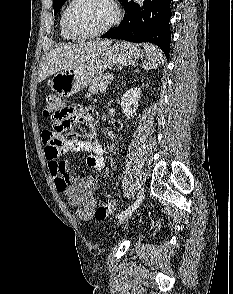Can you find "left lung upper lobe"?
I'll return each instance as SVG.
<instances>
[{
    "mask_svg": "<svg viewBox=\"0 0 233 294\" xmlns=\"http://www.w3.org/2000/svg\"><path fill=\"white\" fill-rule=\"evenodd\" d=\"M66 0H54L53 1V8H54V14H56L60 8L63 6ZM122 1V0H119Z\"/></svg>",
    "mask_w": 233,
    "mask_h": 294,
    "instance_id": "left-lung-upper-lobe-1",
    "label": "left lung upper lobe"
}]
</instances>
